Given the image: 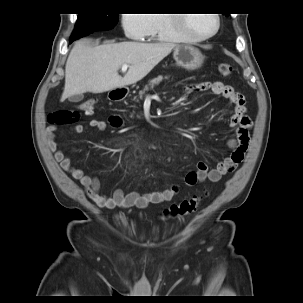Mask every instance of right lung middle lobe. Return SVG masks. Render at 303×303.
I'll return each instance as SVG.
<instances>
[{
	"label": "right lung middle lobe",
	"mask_w": 303,
	"mask_h": 303,
	"mask_svg": "<svg viewBox=\"0 0 303 303\" xmlns=\"http://www.w3.org/2000/svg\"><path fill=\"white\" fill-rule=\"evenodd\" d=\"M118 13L79 14L71 39H78L92 32L112 29L118 21Z\"/></svg>",
	"instance_id": "dd1d6c3e"
}]
</instances>
